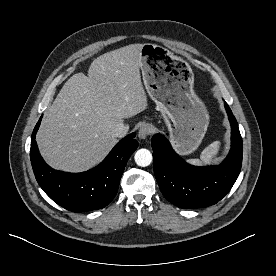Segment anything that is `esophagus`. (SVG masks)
<instances>
[{
	"label": "esophagus",
	"mask_w": 276,
	"mask_h": 276,
	"mask_svg": "<svg viewBox=\"0 0 276 276\" xmlns=\"http://www.w3.org/2000/svg\"><path fill=\"white\" fill-rule=\"evenodd\" d=\"M151 133V128L148 125H142L139 130V138H145Z\"/></svg>",
	"instance_id": "1"
}]
</instances>
